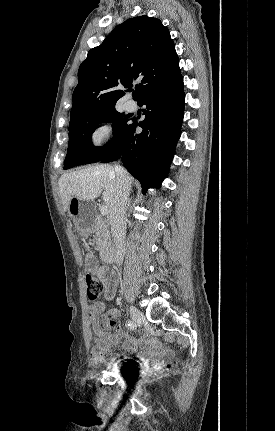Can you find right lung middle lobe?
Instances as JSON below:
<instances>
[{"instance_id":"obj_1","label":"right lung middle lobe","mask_w":275,"mask_h":431,"mask_svg":"<svg viewBox=\"0 0 275 431\" xmlns=\"http://www.w3.org/2000/svg\"><path fill=\"white\" fill-rule=\"evenodd\" d=\"M130 121V116L119 113L115 107H111L70 122L68 151L64 169L99 162L120 140ZM105 122H113L116 125L113 129V140L103 147H94L91 141L92 133L98 124Z\"/></svg>"}]
</instances>
